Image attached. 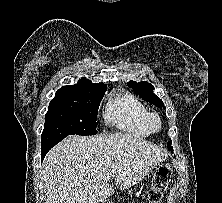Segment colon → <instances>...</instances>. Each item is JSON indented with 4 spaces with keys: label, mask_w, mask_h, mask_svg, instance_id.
<instances>
[{
    "label": "colon",
    "mask_w": 222,
    "mask_h": 203,
    "mask_svg": "<svg viewBox=\"0 0 222 203\" xmlns=\"http://www.w3.org/2000/svg\"><path fill=\"white\" fill-rule=\"evenodd\" d=\"M172 176V167L168 164L162 165L158 168L152 186L148 192L150 203H160L161 198L169 184Z\"/></svg>",
    "instance_id": "5ec220e1"
}]
</instances>
